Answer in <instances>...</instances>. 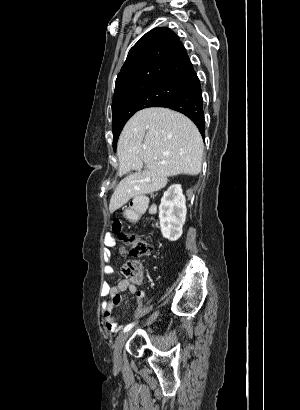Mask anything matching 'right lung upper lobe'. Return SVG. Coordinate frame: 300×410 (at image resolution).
<instances>
[{
  "label": "right lung upper lobe",
  "instance_id": "1",
  "mask_svg": "<svg viewBox=\"0 0 300 410\" xmlns=\"http://www.w3.org/2000/svg\"><path fill=\"white\" fill-rule=\"evenodd\" d=\"M195 74L179 37L169 28H155L130 49L116 79L113 101L132 87L162 82L188 83Z\"/></svg>",
  "mask_w": 300,
  "mask_h": 410
}]
</instances>
